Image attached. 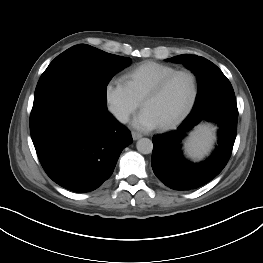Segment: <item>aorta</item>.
Here are the masks:
<instances>
[{"label": "aorta", "mask_w": 263, "mask_h": 263, "mask_svg": "<svg viewBox=\"0 0 263 263\" xmlns=\"http://www.w3.org/2000/svg\"><path fill=\"white\" fill-rule=\"evenodd\" d=\"M136 148L141 154H150L153 150V143L148 138H141L137 141Z\"/></svg>", "instance_id": "1"}]
</instances>
